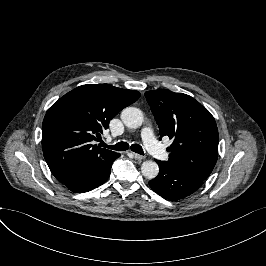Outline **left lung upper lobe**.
<instances>
[{"label": "left lung upper lobe", "instance_id": "obj_1", "mask_svg": "<svg viewBox=\"0 0 266 266\" xmlns=\"http://www.w3.org/2000/svg\"><path fill=\"white\" fill-rule=\"evenodd\" d=\"M160 129V139H173L170 165L206 179L218 157V130L211 113L198 101L167 89L145 92Z\"/></svg>", "mask_w": 266, "mask_h": 266}]
</instances>
